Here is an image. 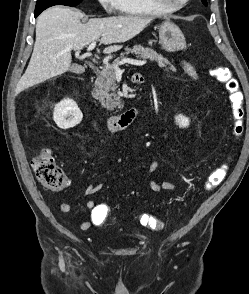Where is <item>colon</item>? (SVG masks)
Instances as JSON below:
<instances>
[{
  "mask_svg": "<svg viewBox=\"0 0 249 294\" xmlns=\"http://www.w3.org/2000/svg\"><path fill=\"white\" fill-rule=\"evenodd\" d=\"M211 75L225 86L234 120L233 133L235 136H239L243 132L244 120L243 95L239 89V85L233 78L227 76L224 70L220 67H214L211 70ZM31 165L36 179L44 188L51 191H60L68 186V177L55 163L53 154L49 149H42L32 159ZM226 174V165H221L213 170L206 180L205 189L212 190L216 188L224 180ZM106 213H108L107 206ZM140 223L142 226L153 230L161 227V223L149 214L141 215Z\"/></svg>",
  "mask_w": 249,
  "mask_h": 294,
  "instance_id": "1",
  "label": "colon"
}]
</instances>
